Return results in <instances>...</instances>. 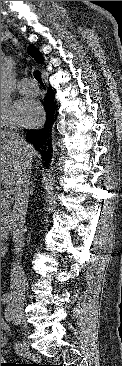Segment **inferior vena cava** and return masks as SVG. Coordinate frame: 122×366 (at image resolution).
<instances>
[{
  "mask_svg": "<svg viewBox=\"0 0 122 366\" xmlns=\"http://www.w3.org/2000/svg\"><path fill=\"white\" fill-rule=\"evenodd\" d=\"M8 137L13 140L15 145L22 146L25 152L28 151L29 146L24 142L25 140L16 132L8 131ZM27 160L25 161L23 174L16 182L12 189L14 195V206L11 216L8 221V226L11 229L12 240L14 243V254L18 257L24 247L25 243V218L27 213V207L29 202V195L32 193L33 183L31 178V159L32 155L26 153ZM22 268L19 265L18 260L13 263V269L11 270V295L17 298H23L24 285Z\"/></svg>",
  "mask_w": 122,
  "mask_h": 366,
  "instance_id": "1",
  "label": "inferior vena cava"
}]
</instances>
